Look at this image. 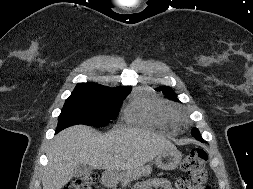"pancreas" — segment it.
<instances>
[{
    "instance_id": "1",
    "label": "pancreas",
    "mask_w": 253,
    "mask_h": 189,
    "mask_svg": "<svg viewBox=\"0 0 253 189\" xmlns=\"http://www.w3.org/2000/svg\"><path fill=\"white\" fill-rule=\"evenodd\" d=\"M151 173L150 166H138L132 167L125 170L122 173L121 183L123 186L128 185L131 181L138 179L142 175H149Z\"/></svg>"
}]
</instances>
